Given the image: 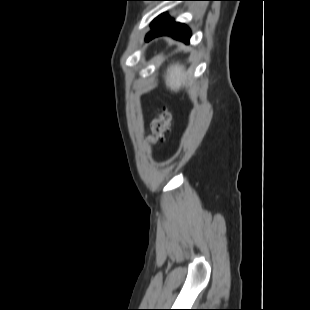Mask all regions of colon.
<instances>
[{
    "label": "colon",
    "instance_id": "1",
    "mask_svg": "<svg viewBox=\"0 0 310 310\" xmlns=\"http://www.w3.org/2000/svg\"><path fill=\"white\" fill-rule=\"evenodd\" d=\"M172 118V113L168 109H163L159 116L151 122L148 137L151 144H157L163 139L170 128Z\"/></svg>",
    "mask_w": 310,
    "mask_h": 310
}]
</instances>
